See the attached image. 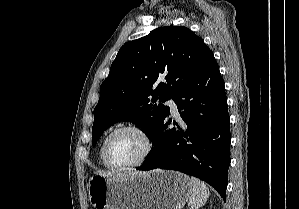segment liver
I'll return each instance as SVG.
<instances>
[{"label":"liver","instance_id":"6515ba94","mask_svg":"<svg viewBox=\"0 0 299 209\" xmlns=\"http://www.w3.org/2000/svg\"><path fill=\"white\" fill-rule=\"evenodd\" d=\"M102 176L106 177H114V178H123V177H128V176H138L144 174L143 172H138V171H125L122 173H114V172H98Z\"/></svg>","mask_w":299,"mask_h":209}]
</instances>
